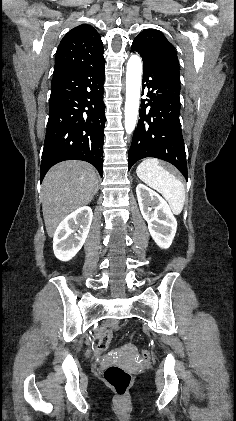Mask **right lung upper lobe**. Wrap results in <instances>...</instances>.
I'll return each mask as SVG.
<instances>
[{
    "label": "right lung upper lobe",
    "instance_id": "obj_1",
    "mask_svg": "<svg viewBox=\"0 0 236 421\" xmlns=\"http://www.w3.org/2000/svg\"><path fill=\"white\" fill-rule=\"evenodd\" d=\"M103 44L91 25L82 24L70 30L61 40L55 58L53 76L104 60Z\"/></svg>",
    "mask_w": 236,
    "mask_h": 421
}]
</instances>
